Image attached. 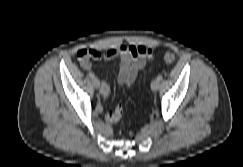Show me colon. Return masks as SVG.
<instances>
[{"mask_svg":"<svg viewBox=\"0 0 243 167\" xmlns=\"http://www.w3.org/2000/svg\"><path fill=\"white\" fill-rule=\"evenodd\" d=\"M88 54H89V50L83 49V50L78 51L77 57L78 58H84ZM163 59H164V61L166 63L171 64V63H173L175 61V55L173 53H171V52H166L163 55Z\"/></svg>","mask_w":243,"mask_h":167,"instance_id":"5ec220e1","label":"colon"}]
</instances>
